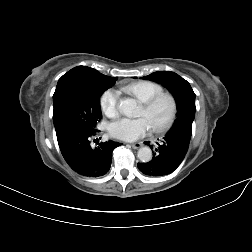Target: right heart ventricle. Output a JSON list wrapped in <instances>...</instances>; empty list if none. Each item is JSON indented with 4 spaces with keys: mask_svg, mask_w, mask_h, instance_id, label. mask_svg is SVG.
Wrapping results in <instances>:
<instances>
[{
    "mask_svg": "<svg viewBox=\"0 0 252 252\" xmlns=\"http://www.w3.org/2000/svg\"><path fill=\"white\" fill-rule=\"evenodd\" d=\"M122 90L134 96L142 103L149 100L156 94L164 92V88L161 85L151 81L131 83L122 87Z\"/></svg>",
    "mask_w": 252,
    "mask_h": 252,
    "instance_id": "1",
    "label": "right heart ventricle"
}]
</instances>
